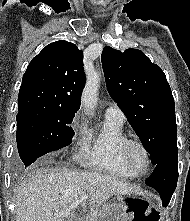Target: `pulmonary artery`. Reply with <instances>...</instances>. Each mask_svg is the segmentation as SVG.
I'll return each instance as SVG.
<instances>
[{
    "label": "pulmonary artery",
    "mask_w": 190,
    "mask_h": 221,
    "mask_svg": "<svg viewBox=\"0 0 190 221\" xmlns=\"http://www.w3.org/2000/svg\"><path fill=\"white\" fill-rule=\"evenodd\" d=\"M105 118H111L124 122L125 115L116 104L110 103L105 110Z\"/></svg>",
    "instance_id": "pulmonary-artery-1"
}]
</instances>
